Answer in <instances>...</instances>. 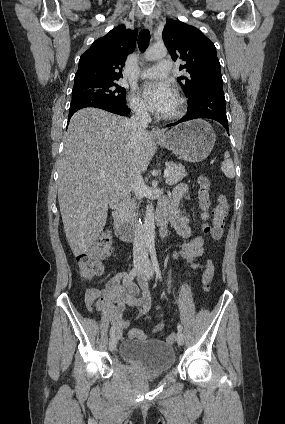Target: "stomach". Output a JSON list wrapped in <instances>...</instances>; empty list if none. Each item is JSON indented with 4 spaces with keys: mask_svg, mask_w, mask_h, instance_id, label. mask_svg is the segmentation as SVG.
Segmentation results:
<instances>
[{
    "mask_svg": "<svg viewBox=\"0 0 285 424\" xmlns=\"http://www.w3.org/2000/svg\"><path fill=\"white\" fill-rule=\"evenodd\" d=\"M216 135L211 125L197 119L178 125L156 141L162 147L173 151L180 159L200 162L212 151Z\"/></svg>",
    "mask_w": 285,
    "mask_h": 424,
    "instance_id": "stomach-1",
    "label": "stomach"
}]
</instances>
